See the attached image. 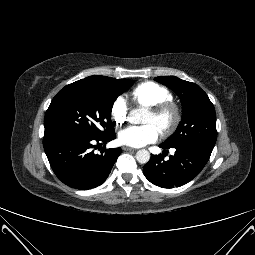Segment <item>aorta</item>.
<instances>
[{"label":"aorta","instance_id":"obj_1","mask_svg":"<svg viewBox=\"0 0 255 255\" xmlns=\"http://www.w3.org/2000/svg\"><path fill=\"white\" fill-rule=\"evenodd\" d=\"M147 113L145 108H138L131 111V120L135 123H144ZM136 160L141 164H146L150 160V153L145 149H141L136 153Z\"/></svg>","mask_w":255,"mask_h":255}]
</instances>
